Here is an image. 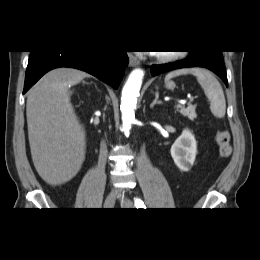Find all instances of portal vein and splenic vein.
I'll return each mask as SVG.
<instances>
[{
  "mask_svg": "<svg viewBox=\"0 0 260 260\" xmlns=\"http://www.w3.org/2000/svg\"><path fill=\"white\" fill-rule=\"evenodd\" d=\"M181 106H182V105H181L180 103L176 105V107H181Z\"/></svg>",
  "mask_w": 260,
  "mask_h": 260,
  "instance_id": "obj_1",
  "label": "portal vein and splenic vein"
}]
</instances>
